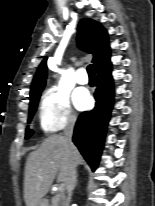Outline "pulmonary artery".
<instances>
[{"mask_svg": "<svg viewBox=\"0 0 155 206\" xmlns=\"http://www.w3.org/2000/svg\"><path fill=\"white\" fill-rule=\"evenodd\" d=\"M88 80L86 70L84 68L79 69L76 74V81L79 84H87Z\"/></svg>", "mask_w": 155, "mask_h": 206, "instance_id": "1", "label": "pulmonary artery"}]
</instances>
